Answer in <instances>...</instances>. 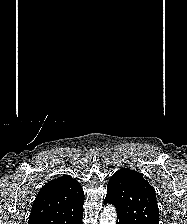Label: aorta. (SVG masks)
<instances>
[{
	"mask_svg": "<svg viewBox=\"0 0 187 224\" xmlns=\"http://www.w3.org/2000/svg\"><path fill=\"white\" fill-rule=\"evenodd\" d=\"M99 224H116V210L113 206H106L101 215Z\"/></svg>",
	"mask_w": 187,
	"mask_h": 224,
	"instance_id": "762f6f07",
	"label": "aorta"
}]
</instances>
